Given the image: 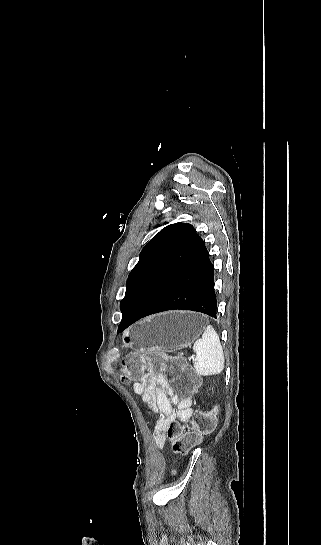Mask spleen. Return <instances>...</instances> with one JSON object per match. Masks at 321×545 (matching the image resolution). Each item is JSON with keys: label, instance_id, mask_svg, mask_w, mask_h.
<instances>
[{"label": "spleen", "instance_id": "3e777b00", "mask_svg": "<svg viewBox=\"0 0 321 545\" xmlns=\"http://www.w3.org/2000/svg\"><path fill=\"white\" fill-rule=\"evenodd\" d=\"M193 351L197 353L194 369L197 375L210 377L219 375L224 369V353L220 339L212 325L206 327L202 339L195 341Z\"/></svg>", "mask_w": 321, "mask_h": 545}]
</instances>
